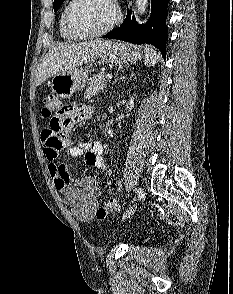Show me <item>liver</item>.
Returning a JSON list of instances; mask_svg holds the SVG:
<instances>
[{
    "mask_svg": "<svg viewBox=\"0 0 233 294\" xmlns=\"http://www.w3.org/2000/svg\"><path fill=\"white\" fill-rule=\"evenodd\" d=\"M111 46V41L96 40L52 48L42 59L37 73L36 85H41L56 74L101 57Z\"/></svg>",
    "mask_w": 233,
    "mask_h": 294,
    "instance_id": "1",
    "label": "liver"
}]
</instances>
